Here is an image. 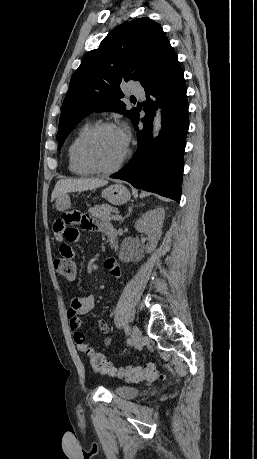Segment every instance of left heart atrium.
<instances>
[{
  "mask_svg": "<svg viewBox=\"0 0 257 459\" xmlns=\"http://www.w3.org/2000/svg\"><path fill=\"white\" fill-rule=\"evenodd\" d=\"M119 134H120V137H121V140H122L124 146L127 148L128 144H129V140H130V133H129L128 128L126 126H122L119 129Z\"/></svg>",
  "mask_w": 257,
  "mask_h": 459,
  "instance_id": "1",
  "label": "left heart atrium"
}]
</instances>
